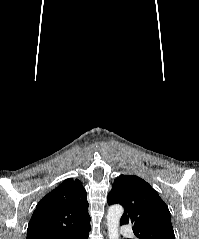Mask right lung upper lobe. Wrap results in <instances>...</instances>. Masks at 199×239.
I'll use <instances>...</instances> for the list:
<instances>
[{
	"label": "right lung upper lobe",
	"mask_w": 199,
	"mask_h": 239,
	"mask_svg": "<svg viewBox=\"0 0 199 239\" xmlns=\"http://www.w3.org/2000/svg\"><path fill=\"white\" fill-rule=\"evenodd\" d=\"M87 194L77 179H66L38 203L26 239H62L90 225Z\"/></svg>",
	"instance_id": "cb5924a9"
}]
</instances>
